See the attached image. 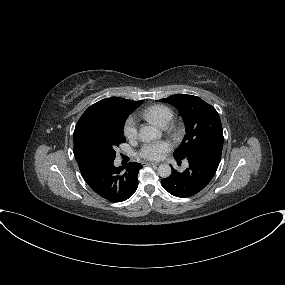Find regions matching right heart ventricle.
Listing matches in <instances>:
<instances>
[{
	"label": "right heart ventricle",
	"mask_w": 285,
	"mask_h": 285,
	"mask_svg": "<svg viewBox=\"0 0 285 285\" xmlns=\"http://www.w3.org/2000/svg\"><path fill=\"white\" fill-rule=\"evenodd\" d=\"M141 116L148 118L160 126H166L173 118V111L165 105H153L143 110Z\"/></svg>",
	"instance_id": "e07e8e85"
}]
</instances>
